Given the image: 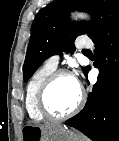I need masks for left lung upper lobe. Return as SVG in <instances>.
I'll return each mask as SVG.
<instances>
[{"mask_svg": "<svg viewBox=\"0 0 119 141\" xmlns=\"http://www.w3.org/2000/svg\"><path fill=\"white\" fill-rule=\"evenodd\" d=\"M76 8L93 16L91 21L72 22L69 13ZM119 9L118 0H54L37 14L23 68L27 81L48 57L73 49L79 35L91 37ZM88 67H83L85 73Z\"/></svg>", "mask_w": 119, "mask_h": 141, "instance_id": "left-lung-upper-lobe-1", "label": "left lung upper lobe"}]
</instances>
